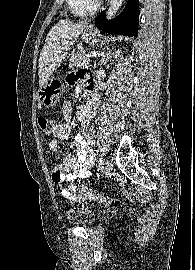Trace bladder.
<instances>
[{"label": "bladder", "mask_w": 195, "mask_h": 270, "mask_svg": "<svg viewBox=\"0 0 195 270\" xmlns=\"http://www.w3.org/2000/svg\"><path fill=\"white\" fill-rule=\"evenodd\" d=\"M70 224L78 226H89L96 220V213L85 206L69 208L65 213Z\"/></svg>", "instance_id": "bladder-1"}]
</instances>
